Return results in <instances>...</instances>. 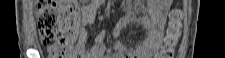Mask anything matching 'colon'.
I'll return each mask as SVG.
<instances>
[{
  "label": "colon",
  "mask_w": 225,
  "mask_h": 58,
  "mask_svg": "<svg viewBox=\"0 0 225 58\" xmlns=\"http://www.w3.org/2000/svg\"><path fill=\"white\" fill-rule=\"evenodd\" d=\"M183 14L174 10L161 54L170 58L180 39ZM80 7L73 0H41L38 2V28L42 44L52 58H75V42L79 34Z\"/></svg>",
  "instance_id": "obj_1"
}]
</instances>
